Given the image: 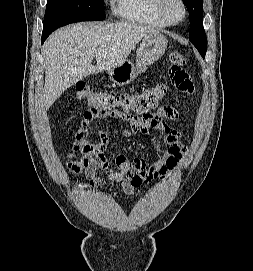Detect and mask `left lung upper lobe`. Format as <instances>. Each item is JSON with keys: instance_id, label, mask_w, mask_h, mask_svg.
Wrapping results in <instances>:
<instances>
[{"instance_id": "obj_1", "label": "left lung upper lobe", "mask_w": 253, "mask_h": 271, "mask_svg": "<svg viewBox=\"0 0 253 271\" xmlns=\"http://www.w3.org/2000/svg\"><path fill=\"white\" fill-rule=\"evenodd\" d=\"M189 12L190 33L189 40L204 58L207 50L206 34L203 27L202 0H183Z\"/></svg>"}]
</instances>
